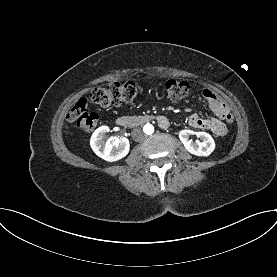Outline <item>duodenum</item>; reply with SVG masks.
<instances>
[{"label": "duodenum", "instance_id": "410a0bca", "mask_svg": "<svg viewBox=\"0 0 277 277\" xmlns=\"http://www.w3.org/2000/svg\"><path fill=\"white\" fill-rule=\"evenodd\" d=\"M154 119L153 116L142 115V116H122L117 118L116 123L120 127L134 128L145 123H148ZM162 127L166 128L167 125L162 123Z\"/></svg>", "mask_w": 277, "mask_h": 277}]
</instances>
